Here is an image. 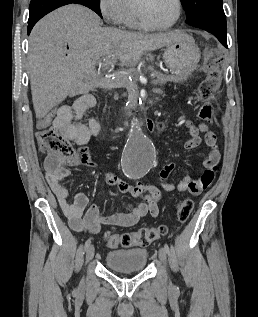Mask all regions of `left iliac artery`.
I'll return each instance as SVG.
<instances>
[{"mask_svg":"<svg viewBox=\"0 0 258 317\" xmlns=\"http://www.w3.org/2000/svg\"><path fill=\"white\" fill-rule=\"evenodd\" d=\"M164 250L166 251V253H169V246H168L167 243L164 244ZM174 291H175V293H180L179 287H178V286H175V287H174Z\"/></svg>","mask_w":258,"mask_h":317,"instance_id":"obj_1","label":"left iliac artery"}]
</instances>
